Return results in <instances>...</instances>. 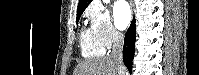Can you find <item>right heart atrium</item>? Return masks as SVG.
Returning <instances> with one entry per match:
<instances>
[{
	"label": "right heart atrium",
	"mask_w": 199,
	"mask_h": 75,
	"mask_svg": "<svg viewBox=\"0 0 199 75\" xmlns=\"http://www.w3.org/2000/svg\"><path fill=\"white\" fill-rule=\"evenodd\" d=\"M90 20L91 27L104 48L110 49L122 40V34L116 29L108 12L93 10Z\"/></svg>",
	"instance_id": "1"
}]
</instances>
